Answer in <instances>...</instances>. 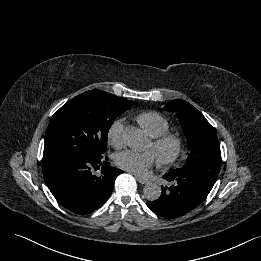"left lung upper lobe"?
Instances as JSON below:
<instances>
[{
  "mask_svg": "<svg viewBox=\"0 0 261 261\" xmlns=\"http://www.w3.org/2000/svg\"><path fill=\"white\" fill-rule=\"evenodd\" d=\"M163 109L177 113L187 138L190 153L183 167H203L219 173L221 167L219 141L214 128L202 113L181 99L166 103Z\"/></svg>",
  "mask_w": 261,
  "mask_h": 261,
  "instance_id": "5c2ea615",
  "label": "left lung upper lobe"
}]
</instances>
